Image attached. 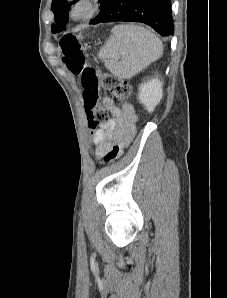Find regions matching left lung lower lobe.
I'll return each instance as SVG.
<instances>
[{
  "instance_id": "1",
  "label": "left lung lower lobe",
  "mask_w": 227,
  "mask_h": 298,
  "mask_svg": "<svg viewBox=\"0 0 227 298\" xmlns=\"http://www.w3.org/2000/svg\"><path fill=\"white\" fill-rule=\"evenodd\" d=\"M114 21L142 22L162 36L174 33L171 0H108L98 23Z\"/></svg>"
}]
</instances>
